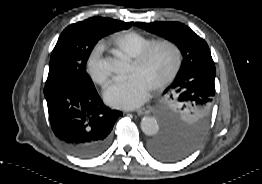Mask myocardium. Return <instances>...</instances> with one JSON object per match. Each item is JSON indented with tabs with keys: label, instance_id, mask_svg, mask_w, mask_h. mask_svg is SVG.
<instances>
[{
	"label": "myocardium",
	"instance_id": "f54148a6",
	"mask_svg": "<svg viewBox=\"0 0 262 184\" xmlns=\"http://www.w3.org/2000/svg\"><path fill=\"white\" fill-rule=\"evenodd\" d=\"M161 46H167V47L171 48L174 51V53H175V62H174V65H173L172 69L170 70V72L163 79H161L159 82H157L153 86L154 90H160V89L166 87L179 74V72H180V70L182 68V64H183V50H182L181 46L177 42H175L173 40H169V39L157 40V41L153 42L151 45H149L148 47H146L144 50H142L134 58V63L137 64L138 66H141L148 60V58L151 56V54L157 48H159Z\"/></svg>",
	"mask_w": 262,
	"mask_h": 184
}]
</instances>
